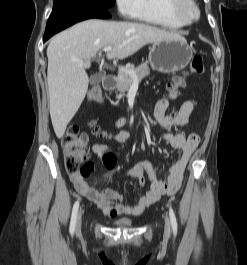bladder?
Returning <instances> with one entry per match:
<instances>
[{
  "mask_svg": "<svg viewBox=\"0 0 247 265\" xmlns=\"http://www.w3.org/2000/svg\"><path fill=\"white\" fill-rule=\"evenodd\" d=\"M113 225L116 227L128 228V227H132L134 225V221L131 219L123 218V219H118V220L114 221Z\"/></svg>",
  "mask_w": 247,
  "mask_h": 265,
  "instance_id": "obj_1",
  "label": "bladder"
}]
</instances>
